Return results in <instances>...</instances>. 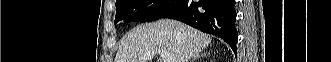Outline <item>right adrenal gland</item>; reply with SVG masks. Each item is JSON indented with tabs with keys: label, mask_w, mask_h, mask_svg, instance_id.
Wrapping results in <instances>:
<instances>
[{
	"label": "right adrenal gland",
	"mask_w": 331,
	"mask_h": 62,
	"mask_svg": "<svg viewBox=\"0 0 331 62\" xmlns=\"http://www.w3.org/2000/svg\"><path fill=\"white\" fill-rule=\"evenodd\" d=\"M204 56H206V53L204 52H202L201 54H196V55H194L193 57H192V60H191V62H194L195 60H197L198 58H201V57H204Z\"/></svg>",
	"instance_id": "2a0ac1e0"
}]
</instances>
